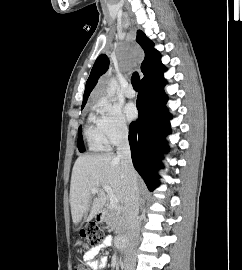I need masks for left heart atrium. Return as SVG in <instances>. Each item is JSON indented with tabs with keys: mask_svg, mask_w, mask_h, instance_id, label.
<instances>
[{
	"mask_svg": "<svg viewBox=\"0 0 242 270\" xmlns=\"http://www.w3.org/2000/svg\"><path fill=\"white\" fill-rule=\"evenodd\" d=\"M124 112L128 120H134L137 117L138 113L134 103L126 104Z\"/></svg>",
	"mask_w": 242,
	"mask_h": 270,
	"instance_id": "obj_1",
	"label": "left heart atrium"
}]
</instances>
